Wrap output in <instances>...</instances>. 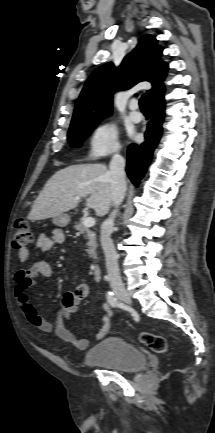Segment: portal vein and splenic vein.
<instances>
[{
    "mask_svg": "<svg viewBox=\"0 0 215 433\" xmlns=\"http://www.w3.org/2000/svg\"><path fill=\"white\" fill-rule=\"evenodd\" d=\"M76 199H79V197H76ZM83 224L86 227H92L95 225V219L93 217H87L84 219Z\"/></svg>",
    "mask_w": 215,
    "mask_h": 433,
    "instance_id": "obj_1",
    "label": "portal vein and splenic vein"
}]
</instances>
